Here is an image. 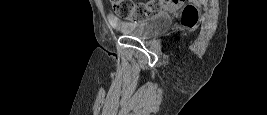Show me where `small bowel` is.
Returning a JSON list of instances; mask_svg holds the SVG:
<instances>
[{
	"mask_svg": "<svg viewBox=\"0 0 267 115\" xmlns=\"http://www.w3.org/2000/svg\"><path fill=\"white\" fill-rule=\"evenodd\" d=\"M183 2L180 0H172L165 2L163 8L166 12L176 13L182 8Z\"/></svg>",
	"mask_w": 267,
	"mask_h": 115,
	"instance_id": "small-bowel-1",
	"label": "small bowel"
}]
</instances>
